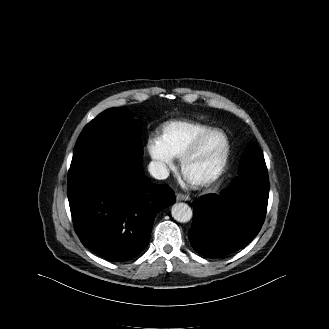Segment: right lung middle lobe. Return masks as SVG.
<instances>
[{
  "instance_id": "right-lung-middle-lobe-1",
  "label": "right lung middle lobe",
  "mask_w": 329,
  "mask_h": 329,
  "mask_svg": "<svg viewBox=\"0 0 329 329\" xmlns=\"http://www.w3.org/2000/svg\"><path fill=\"white\" fill-rule=\"evenodd\" d=\"M102 158L142 167L141 125L128 120L120 110H106L84 127L74 147L69 173Z\"/></svg>"
}]
</instances>
